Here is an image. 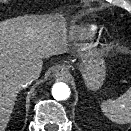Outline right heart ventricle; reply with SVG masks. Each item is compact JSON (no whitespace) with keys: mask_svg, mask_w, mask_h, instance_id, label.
I'll list each match as a JSON object with an SVG mask.
<instances>
[{"mask_svg":"<svg viewBox=\"0 0 131 131\" xmlns=\"http://www.w3.org/2000/svg\"><path fill=\"white\" fill-rule=\"evenodd\" d=\"M96 31V27L95 26H90L87 30L88 34H94Z\"/></svg>","mask_w":131,"mask_h":131,"instance_id":"1","label":"right heart ventricle"}]
</instances>
